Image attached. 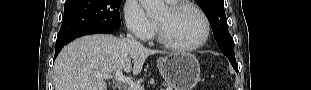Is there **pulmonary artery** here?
Returning <instances> with one entry per match:
<instances>
[{"label":"pulmonary artery","mask_w":311,"mask_h":90,"mask_svg":"<svg viewBox=\"0 0 311 90\" xmlns=\"http://www.w3.org/2000/svg\"><path fill=\"white\" fill-rule=\"evenodd\" d=\"M169 3L177 2L176 0H167Z\"/></svg>","instance_id":"pulmonary-artery-1"}]
</instances>
